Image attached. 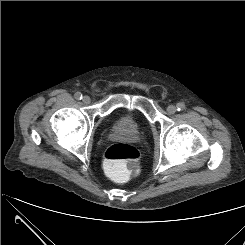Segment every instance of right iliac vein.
<instances>
[{
	"label": "right iliac vein",
	"mask_w": 245,
	"mask_h": 245,
	"mask_svg": "<svg viewBox=\"0 0 245 245\" xmlns=\"http://www.w3.org/2000/svg\"><path fill=\"white\" fill-rule=\"evenodd\" d=\"M82 101L85 104H89L91 102V98L86 95V96L83 97Z\"/></svg>",
	"instance_id": "obj_1"
}]
</instances>
